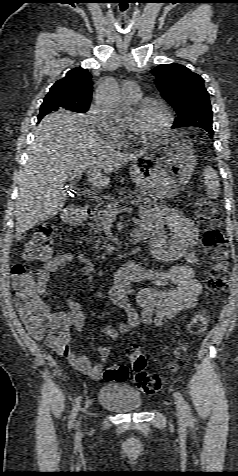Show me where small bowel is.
<instances>
[{"label":"small bowel","mask_w":238,"mask_h":476,"mask_svg":"<svg viewBox=\"0 0 238 476\" xmlns=\"http://www.w3.org/2000/svg\"><path fill=\"white\" fill-rule=\"evenodd\" d=\"M138 228L150 235V253L162 262L171 263L184 259L185 264L175 265L167 270L145 268L129 263L115 272L114 285L110 288L107 300L112 306L124 312V319L118 328L105 327L97 332L112 340L128 334L142 325L160 327L185 310L195 307L202 292V283L196 277L197 259L194 248L198 242L199 231L192 220L176 210L166 207L143 212ZM71 263L78 265L81 276L93 281L94 264L84 255L60 253L47 260L38 270L36 288L38 295L49 292L51 275ZM140 281L152 282V287L139 290L133 284ZM68 310L47 311L49 329L66 330L67 336L56 348L57 353L79 372L98 380L102 375L101 364L92 366L87 356L77 355L70 349L71 327L80 331L85 324V305L67 298ZM136 306L141 310L137 311ZM103 362L110 356L105 346L98 348Z\"/></svg>","instance_id":"obj_1"}]
</instances>
